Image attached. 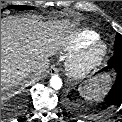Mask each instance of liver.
<instances>
[{
  "instance_id": "liver-1",
  "label": "liver",
  "mask_w": 122,
  "mask_h": 122,
  "mask_svg": "<svg viewBox=\"0 0 122 122\" xmlns=\"http://www.w3.org/2000/svg\"><path fill=\"white\" fill-rule=\"evenodd\" d=\"M68 21L44 22L36 16L1 19V92L11 90L32 73V67L60 48Z\"/></svg>"
}]
</instances>
